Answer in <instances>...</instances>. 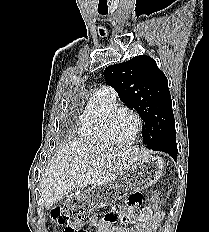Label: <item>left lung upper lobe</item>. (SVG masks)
<instances>
[{"label":"left lung upper lobe","mask_w":209,"mask_h":232,"mask_svg":"<svg viewBox=\"0 0 209 232\" xmlns=\"http://www.w3.org/2000/svg\"><path fill=\"white\" fill-rule=\"evenodd\" d=\"M103 74L120 100L145 122L142 137L147 148L162 151L176 131L168 81L155 60L147 55L136 56L108 66Z\"/></svg>","instance_id":"left-lung-upper-lobe-1"}]
</instances>
